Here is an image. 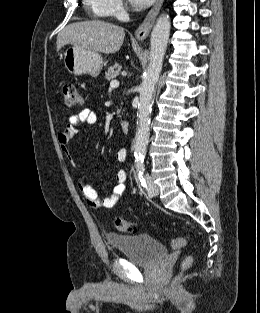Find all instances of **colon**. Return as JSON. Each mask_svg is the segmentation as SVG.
<instances>
[{
  "label": "colon",
  "mask_w": 260,
  "mask_h": 313,
  "mask_svg": "<svg viewBox=\"0 0 260 313\" xmlns=\"http://www.w3.org/2000/svg\"><path fill=\"white\" fill-rule=\"evenodd\" d=\"M63 102L67 108H76L82 105L83 97L75 84L67 83L63 86ZM115 228L121 233H133L136 231L135 224L125 219L117 218L114 220ZM174 248H181L186 245V239L177 238L172 242ZM193 255L185 256L180 264V274L186 272L193 263Z\"/></svg>",
  "instance_id": "obj_1"
}]
</instances>
